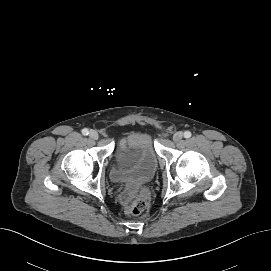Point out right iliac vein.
Returning a JSON list of instances; mask_svg holds the SVG:
<instances>
[{
  "label": "right iliac vein",
  "instance_id": "right-iliac-vein-1",
  "mask_svg": "<svg viewBox=\"0 0 271 271\" xmlns=\"http://www.w3.org/2000/svg\"><path fill=\"white\" fill-rule=\"evenodd\" d=\"M89 136L91 139L93 140H97L98 137H99V134L96 130H91L90 133H89Z\"/></svg>",
  "mask_w": 271,
  "mask_h": 271
}]
</instances>
